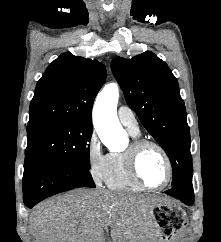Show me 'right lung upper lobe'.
Segmentation results:
<instances>
[{"instance_id": "obj_1", "label": "right lung upper lobe", "mask_w": 221, "mask_h": 242, "mask_svg": "<svg viewBox=\"0 0 221 242\" xmlns=\"http://www.w3.org/2000/svg\"><path fill=\"white\" fill-rule=\"evenodd\" d=\"M105 80V66L97 60L61 54L36 85L28 126L62 121L92 124L93 102Z\"/></svg>"}]
</instances>
